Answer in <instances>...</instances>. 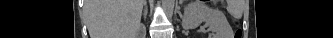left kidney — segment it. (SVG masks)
Here are the masks:
<instances>
[{"mask_svg":"<svg viewBox=\"0 0 333 38\" xmlns=\"http://www.w3.org/2000/svg\"><path fill=\"white\" fill-rule=\"evenodd\" d=\"M206 23L213 38H230L233 30L220 10L211 8L204 1L190 2L184 9L182 26L184 29H195L201 23Z\"/></svg>","mask_w":333,"mask_h":38,"instance_id":"1","label":"left kidney"}]
</instances>
